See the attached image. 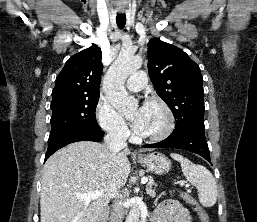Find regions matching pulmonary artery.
I'll return each mask as SVG.
<instances>
[{
	"label": "pulmonary artery",
	"instance_id": "obj_1",
	"mask_svg": "<svg viewBox=\"0 0 257 222\" xmlns=\"http://www.w3.org/2000/svg\"><path fill=\"white\" fill-rule=\"evenodd\" d=\"M147 83V76L144 71H137L133 73L127 80V88L131 91H139L145 87Z\"/></svg>",
	"mask_w": 257,
	"mask_h": 222
}]
</instances>
